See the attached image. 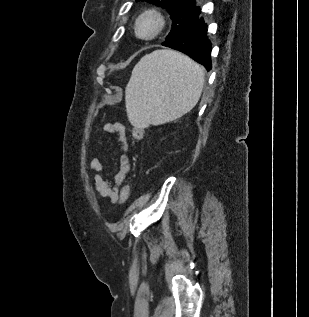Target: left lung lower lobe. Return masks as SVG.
<instances>
[{"mask_svg": "<svg viewBox=\"0 0 309 317\" xmlns=\"http://www.w3.org/2000/svg\"><path fill=\"white\" fill-rule=\"evenodd\" d=\"M197 10L186 27L166 39L162 45L181 51L202 64L207 71L211 70V42L207 35V24Z\"/></svg>", "mask_w": 309, "mask_h": 317, "instance_id": "1", "label": "left lung lower lobe"}]
</instances>
